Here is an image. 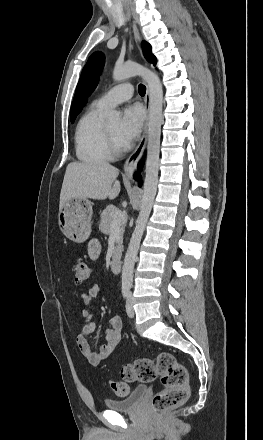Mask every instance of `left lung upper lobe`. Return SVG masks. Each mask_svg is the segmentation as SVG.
Wrapping results in <instances>:
<instances>
[{"instance_id": "1", "label": "left lung upper lobe", "mask_w": 263, "mask_h": 440, "mask_svg": "<svg viewBox=\"0 0 263 440\" xmlns=\"http://www.w3.org/2000/svg\"><path fill=\"white\" fill-rule=\"evenodd\" d=\"M143 52L148 61L156 64V58L151 53V46L143 43ZM104 55L101 52H94L88 59L85 65L79 83L76 88V93L71 108V122L73 123L76 116L80 113L82 107L87 102L88 96L92 93L99 81V75L103 69Z\"/></svg>"}]
</instances>
